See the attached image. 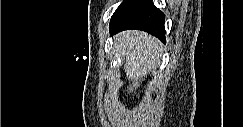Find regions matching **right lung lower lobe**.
Returning <instances> with one entry per match:
<instances>
[{
  "mask_svg": "<svg viewBox=\"0 0 243 127\" xmlns=\"http://www.w3.org/2000/svg\"><path fill=\"white\" fill-rule=\"evenodd\" d=\"M165 16L152 0H124L110 20V33L123 30H142L165 43Z\"/></svg>",
  "mask_w": 243,
  "mask_h": 127,
  "instance_id": "98d812e1",
  "label": "right lung lower lobe"
}]
</instances>
